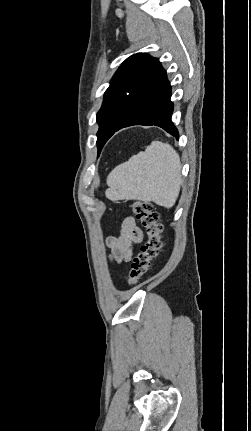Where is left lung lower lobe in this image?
<instances>
[{
  "instance_id": "obj_1",
  "label": "left lung lower lobe",
  "mask_w": 251,
  "mask_h": 431,
  "mask_svg": "<svg viewBox=\"0 0 251 431\" xmlns=\"http://www.w3.org/2000/svg\"><path fill=\"white\" fill-rule=\"evenodd\" d=\"M170 98L171 86L167 80L165 70L158 61L133 99L121 122L113 130L112 135L116 131L132 125H155L163 128L178 139L179 133L171 121L173 103Z\"/></svg>"
}]
</instances>
